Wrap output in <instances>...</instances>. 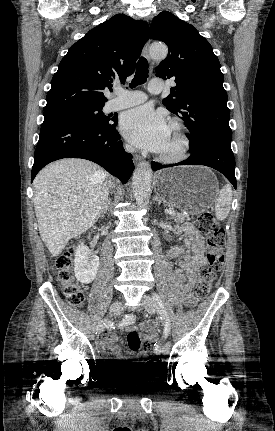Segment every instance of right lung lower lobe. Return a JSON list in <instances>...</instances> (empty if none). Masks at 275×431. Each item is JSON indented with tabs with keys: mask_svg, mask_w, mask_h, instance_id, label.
<instances>
[{
	"mask_svg": "<svg viewBox=\"0 0 275 431\" xmlns=\"http://www.w3.org/2000/svg\"><path fill=\"white\" fill-rule=\"evenodd\" d=\"M118 118L104 125H92L73 118L45 119L35 150L31 181L48 163L61 158L93 161L126 183L134 164L123 149L115 129Z\"/></svg>",
	"mask_w": 275,
	"mask_h": 431,
	"instance_id": "98d812e1",
	"label": "right lung lower lobe"
}]
</instances>
